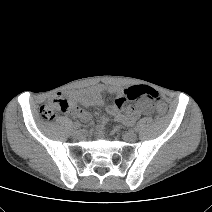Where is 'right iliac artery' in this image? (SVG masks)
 I'll return each mask as SVG.
<instances>
[{"instance_id": "obj_1", "label": "right iliac artery", "mask_w": 212, "mask_h": 212, "mask_svg": "<svg viewBox=\"0 0 212 212\" xmlns=\"http://www.w3.org/2000/svg\"><path fill=\"white\" fill-rule=\"evenodd\" d=\"M81 127V123H79V122H74L73 123V128L74 129H78V128H80Z\"/></svg>"}]
</instances>
